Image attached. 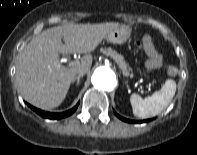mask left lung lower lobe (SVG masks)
<instances>
[{"label": "left lung lower lobe", "mask_w": 197, "mask_h": 155, "mask_svg": "<svg viewBox=\"0 0 197 155\" xmlns=\"http://www.w3.org/2000/svg\"><path fill=\"white\" fill-rule=\"evenodd\" d=\"M115 115H116L119 119H121V120H123V121H125V122H129V123H143V122H149V121H150V119H148V120H143V121L128 120V119H125V118L119 116L116 112H115Z\"/></svg>", "instance_id": "1"}]
</instances>
